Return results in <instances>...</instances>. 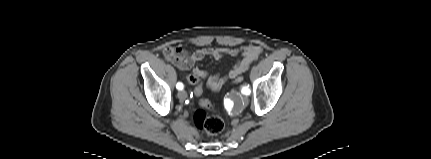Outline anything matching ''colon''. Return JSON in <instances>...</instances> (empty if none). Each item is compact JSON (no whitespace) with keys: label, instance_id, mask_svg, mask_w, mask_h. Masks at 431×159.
<instances>
[{"label":"colon","instance_id":"1","mask_svg":"<svg viewBox=\"0 0 431 159\" xmlns=\"http://www.w3.org/2000/svg\"><path fill=\"white\" fill-rule=\"evenodd\" d=\"M185 80L190 82L194 87V95L197 97V103L200 104V108L194 113V124L195 126L207 135H217L224 129V121L220 114L213 110V104L206 100L203 95V86L201 80L196 78L193 74H186ZM244 81L243 76L230 81V84H239Z\"/></svg>","mask_w":431,"mask_h":159}]
</instances>
